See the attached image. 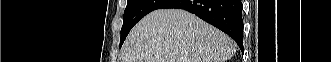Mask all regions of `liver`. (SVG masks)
Instances as JSON below:
<instances>
[{
    "mask_svg": "<svg viewBox=\"0 0 331 62\" xmlns=\"http://www.w3.org/2000/svg\"><path fill=\"white\" fill-rule=\"evenodd\" d=\"M236 52L222 31L181 9L155 10L128 35L122 62H225Z\"/></svg>",
    "mask_w": 331,
    "mask_h": 62,
    "instance_id": "1",
    "label": "liver"
}]
</instances>
